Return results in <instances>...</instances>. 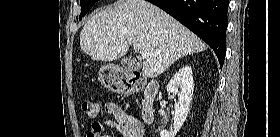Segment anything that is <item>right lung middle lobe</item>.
Segmentation results:
<instances>
[{
	"label": "right lung middle lobe",
	"mask_w": 280,
	"mask_h": 137,
	"mask_svg": "<svg viewBox=\"0 0 280 137\" xmlns=\"http://www.w3.org/2000/svg\"><path fill=\"white\" fill-rule=\"evenodd\" d=\"M98 0H81L80 5H81V13L79 16V20L84 17L87 12L91 9V7L97 2Z\"/></svg>",
	"instance_id": "dd1d6c3e"
}]
</instances>
